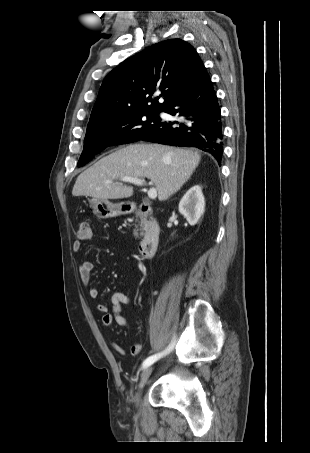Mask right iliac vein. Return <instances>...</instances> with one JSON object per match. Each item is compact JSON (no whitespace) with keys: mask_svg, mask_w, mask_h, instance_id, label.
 <instances>
[{"mask_svg":"<svg viewBox=\"0 0 310 453\" xmlns=\"http://www.w3.org/2000/svg\"><path fill=\"white\" fill-rule=\"evenodd\" d=\"M153 371V368L152 367H147L143 370L142 374H141V380H140V383H139V386H138V392L136 394V403L139 404V401H140V396H141V393H142V390L147 382V380L149 379L151 373Z\"/></svg>","mask_w":310,"mask_h":453,"instance_id":"obj_1","label":"right iliac vein"}]
</instances>
